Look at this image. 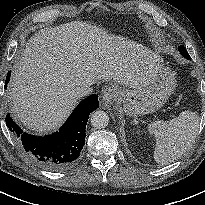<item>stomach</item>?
<instances>
[{
    "mask_svg": "<svg viewBox=\"0 0 205 205\" xmlns=\"http://www.w3.org/2000/svg\"><path fill=\"white\" fill-rule=\"evenodd\" d=\"M175 88V74L162 65L147 87L136 90L115 87V92L118 101L123 103L124 112L130 117H136L161 108Z\"/></svg>",
    "mask_w": 205,
    "mask_h": 205,
    "instance_id": "0dacf381",
    "label": "stomach"
}]
</instances>
